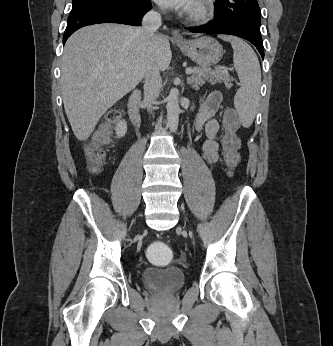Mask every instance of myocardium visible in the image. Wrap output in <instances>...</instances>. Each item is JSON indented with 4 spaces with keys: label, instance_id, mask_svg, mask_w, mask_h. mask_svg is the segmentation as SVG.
<instances>
[{
    "label": "myocardium",
    "instance_id": "obj_1",
    "mask_svg": "<svg viewBox=\"0 0 333 346\" xmlns=\"http://www.w3.org/2000/svg\"><path fill=\"white\" fill-rule=\"evenodd\" d=\"M214 0H195L189 10V18L196 22H207L214 14Z\"/></svg>",
    "mask_w": 333,
    "mask_h": 346
}]
</instances>
